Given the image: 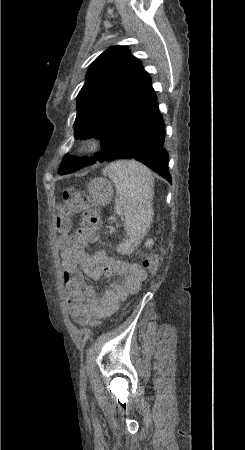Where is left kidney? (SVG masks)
Masks as SVG:
<instances>
[{"instance_id":"5707ae66","label":"left kidney","mask_w":245,"mask_h":450,"mask_svg":"<svg viewBox=\"0 0 245 450\" xmlns=\"http://www.w3.org/2000/svg\"><path fill=\"white\" fill-rule=\"evenodd\" d=\"M152 244H153V240L150 239V240H147V241H146L145 246H146V247H151Z\"/></svg>"}]
</instances>
